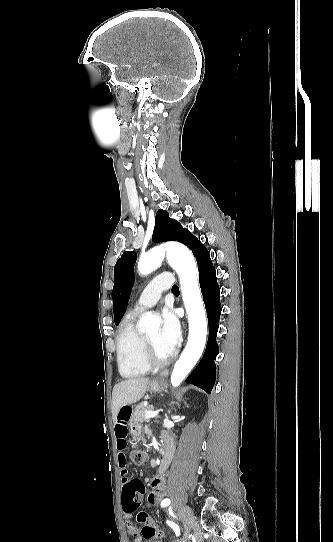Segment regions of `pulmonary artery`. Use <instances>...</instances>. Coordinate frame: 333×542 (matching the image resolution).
<instances>
[{
    "label": "pulmonary artery",
    "instance_id": "1",
    "mask_svg": "<svg viewBox=\"0 0 333 542\" xmlns=\"http://www.w3.org/2000/svg\"><path fill=\"white\" fill-rule=\"evenodd\" d=\"M174 280L170 271H163L162 274L158 273L155 275L154 280L150 281V286L147 287V290L144 289L132 310V313L139 315L144 311L154 307L163 295V291H167L170 288L174 287ZM162 290V291H160Z\"/></svg>",
    "mask_w": 333,
    "mask_h": 542
}]
</instances>
